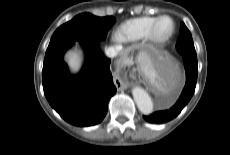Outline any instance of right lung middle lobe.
I'll list each match as a JSON object with an SVG mask.
<instances>
[{
	"label": "right lung middle lobe",
	"mask_w": 230,
	"mask_h": 155,
	"mask_svg": "<svg viewBox=\"0 0 230 155\" xmlns=\"http://www.w3.org/2000/svg\"><path fill=\"white\" fill-rule=\"evenodd\" d=\"M115 22L112 16L96 17L82 13L60 26L53 34L48 49L78 40H102Z\"/></svg>",
	"instance_id": "1"
}]
</instances>
